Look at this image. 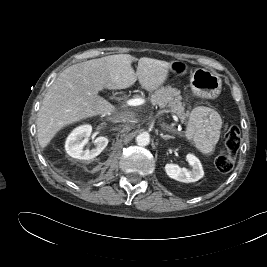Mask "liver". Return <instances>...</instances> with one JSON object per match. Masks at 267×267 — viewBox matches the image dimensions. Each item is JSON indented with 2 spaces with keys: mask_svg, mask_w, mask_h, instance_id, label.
I'll return each instance as SVG.
<instances>
[{
  "mask_svg": "<svg viewBox=\"0 0 267 267\" xmlns=\"http://www.w3.org/2000/svg\"><path fill=\"white\" fill-rule=\"evenodd\" d=\"M129 54L105 56L65 69L48 89L37 117L39 144L45 148L63 127L86 118L111 114L116 108L98 95L106 89H126L136 80L142 88L154 91L168 77L171 63L143 57L136 73Z\"/></svg>",
  "mask_w": 267,
  "mask_h": 267,
  "instance_id": "1",
  "label": "liver"
}]
</instances>
